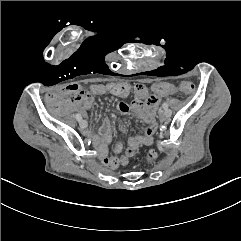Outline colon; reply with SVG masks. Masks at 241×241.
Here are the masks:
<instances>
[{
	"mask_svg": "<svg viewBox=\"0 0 241 241\" xmlns=\"http://www.w3.org/2000/svg\"><path fill=\"white\" fill-rule=\"evenodd\" d=\"M128 81L127 79H113L110 86L109 91L110 94L115 96L116 98H121L124 93L127 91ZM180 91L183 93H193L195 90V85L190 82L181 83ZM152 91L156 94H166L168 92V87L164 82H156L152 86ZM147 158L151 160H155L158 158V153L154 149H147L146 151Z\"/></svg>",
	"mask_w": 241,
	"mask_h": 241,
	"instance_id": "colon-1",
	"label": "colon"
}]
</instances>
